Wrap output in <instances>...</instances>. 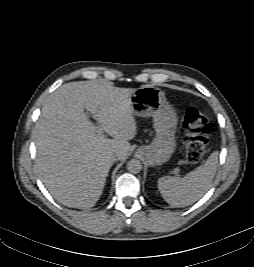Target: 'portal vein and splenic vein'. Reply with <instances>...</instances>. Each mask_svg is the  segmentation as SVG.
I'll return each mask as SVG.
<instances>
[{
    "mask_svg": "<svg viewBox=\"0 0 254 267\" xmlns=\"http://www.w3.org/2000/svg\"><path fill=\"white\" fill-rule=\"evenodd\" d=\"M98 132L99 134H103L102 128L100 127V125H98ZM176 172H178V169H176Z\"/></svg>",
    "mask_w": 254,
    "mask_h": 267,
    "instance_id": "1",
    "label": "portal vein and splenic vein"
}]
</instances>
